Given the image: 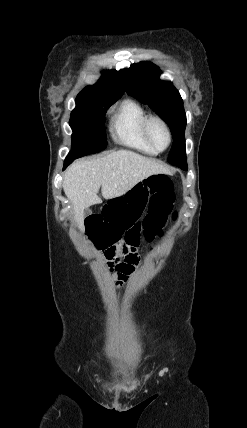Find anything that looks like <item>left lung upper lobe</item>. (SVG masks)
Listing matches in <instances>:
<instances>
[{
	"instance_id": "obj_1",
	"label": "left lung upper lobe",
	"mask_w": 247,
	"mask_h": 428,
	"mask_svg": "<svg viewBox=\"0 0 247 428\" xmlns=\"http://www.w3.org/2000/svg\"><path fill=\"white\" fill-rule=\"evenodd\" d=\"M151 62L132 64L120 71L126 92L148 104L170 127L173 144L168 162L173 165L187 164L185 151L186 114L183 100L169 81L160 80V72Z\"/></svg>"
}]
</instances>
